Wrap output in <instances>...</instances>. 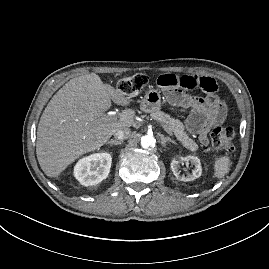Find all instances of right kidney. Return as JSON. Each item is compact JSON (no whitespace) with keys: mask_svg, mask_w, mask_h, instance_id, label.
<instances>
[{"mask_svg":"<svg viewBox=\"0 0 269 269\" xmlns=\"http://www.w3.org/2000/svg\"><path fill=\"white\" fill-rule=\"evenodd\" d=\"M112 163L109 153H95L80 159L74 167L75 178L84 186L100 183L108 177Z\"/></svg>","mask_w":269,"mask_h":269,"instance_id":"right-kidney-1","label":"right kidney"}]
</instances>
